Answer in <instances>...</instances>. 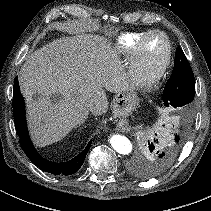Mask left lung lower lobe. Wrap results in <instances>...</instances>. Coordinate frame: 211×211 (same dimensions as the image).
I'll return each instance as SVG.
<instances>
[{"label":"left lung lower lobe","instance_id":"left-lung-lower-lobe-1","mask_svg":"<svg viewBox=\"0 0 211 211\" xmlns=\"http://www.w3.org/2000/svg\"><path fill=\"white\" fill-rule=\"evenodd\" d=\"M190 122L189 110H180L179 112V124L173 128V132L167 138L163 137V140L155 134V138L148 140L146 145L147 151L157 154L161 159H171L179 151L183 141V135Z\"/></svg>","mask_w":211,"mask_h":211}]
</instances>
